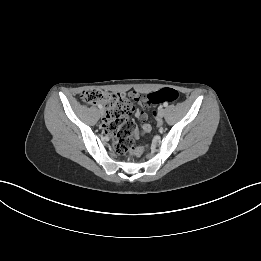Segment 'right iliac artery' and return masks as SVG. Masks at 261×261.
Here are the masks:
<instances>
[{
	"mask_svg": "<svg viewBox=\"0 0 261 261\" xmlns=\"http://www.w3.org/2000/svg\"><path fill=\"white\" fill-rule=\"evenodd\" d=\"M98 108L102 109V105H101V104H99V105H98Z\"/></svg>",
	"mask_w": 261,
	"mask_h": 261,
	"instance_id": "82829eb1",
	"label": "right iliac artery"
}]
</instances>
